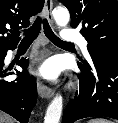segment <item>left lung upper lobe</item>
<instances>
[{"label": "left lung upper lobe", "mask_w": 118, "mask_h": 123, "mask_svg": "<svg viewBox=\"0 0 118 123\" xmlns=\"http://www.w3.org/2000/svg\"><path fill=\"white\" fill-rule=\"evenodd\" d=\"M71 14V27L81 29L92 60H118L117 0H59ZM87 68H91L84 62Z\"/></svg>", "instance_id": "left-lung-upper-lobe-1"}]
</instances>
